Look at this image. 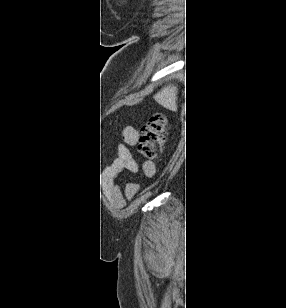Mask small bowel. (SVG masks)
Wrapping results in <instances>:
<instances>
[{
  "label": "small bowel",
  "instance_id": "small-bowel-1",
  "mask_svg": "<svg viewBox=\"0 0 286 308\" xmlns=\"http://www.w3.org/2000/svg\"><path fill=\"white\" fill-rule=\"evenodd\" d=\"M122 136L124 144L119 147V157L117 161L111 166L113 170L114 177H117L123 170H127L132 174H137L139 172L138 163L131 157L130 150L128 146H132L136 143L139 133L132 126H126L122 131ZM142 170L144 174L151 177L155 174V166L151 162H145L142 165ZM130 196L131 193H128Z\"/></svg>",
  "mask_w": 286,
  "mask_h": 308
}]
</instances>
